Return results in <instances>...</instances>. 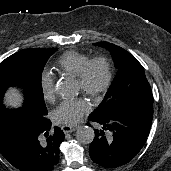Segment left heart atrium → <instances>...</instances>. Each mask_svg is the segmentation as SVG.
<instances>
[{"label": "left heart atrium", "mask_w": 171, "mask_h": 171, "mask_svg": "<svg viewBox=\"0 0 171 171\" xmlns=\"http://www.w3.org/2000/svg\"><path fill=\"white\" fill-rule=\"evenodd\" d=\"M90 110L88 102L84 99H65L53 111L52 117L56 123L73 125Z\"/></svg>", "instance_id": "39dd6f15"}]
</instances>
